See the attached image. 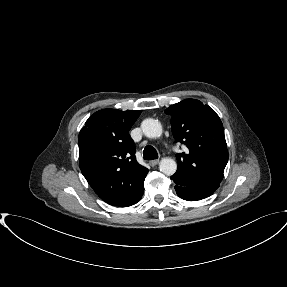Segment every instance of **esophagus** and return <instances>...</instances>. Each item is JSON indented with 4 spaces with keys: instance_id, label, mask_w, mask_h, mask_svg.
<instances>
[{
    "instance_id": "34e87169",
    "label": "esophagus",
    "mask_w": 287,
    "mask_h": 287,
    "mask_svg": "<svg viewBox=\"0 0 287 287\" xmlns=\"http://www.w3.org/2000/svg\"><path fill=\"white\" fill-rule=\"evenodd\" d=\"M149 164H150L152 167H154V166H156V165L159 164V159L151 160V161H149Z\"/></svg>"
}]
</instances>
